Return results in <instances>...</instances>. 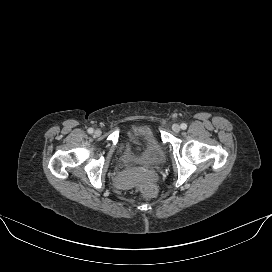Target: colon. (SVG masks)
Returning <instances> with one entry per match:
<instances>
[{
    "mask_svg": "<svg viewBox=\"0 0 272 272\" xmlns=\"http://www.w3.org/2000/svg\"><path fill=\"white\" fill-rule=\"evenodd\" d=\"M137 188L143 197L147 199L154 198L158 193L156 185L150 182L142 183Z\"/></svg>",
    "mask_w": 272,
    "mask_h": 272,
    "instance_id": "5ec220e1",
    "label": "colon"
}]
</instances>
